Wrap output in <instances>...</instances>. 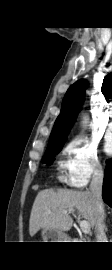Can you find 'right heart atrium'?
I'll use <instances>...</instances> for the list:
<instances>
[{
  "instance_id": "d8ad5b80",
  "label": "right heart atrium",
  "mask_w": 112,
  "mask_h": 270,
  "mask_svg": "<svg viewBox=\"0 0 112 270\" xmlns=\"http://www.w3.org/2000/svg\"><path fill=\"white\" fill-rule=\"evenodd\" d=\"M62 155L63 180L71 187L83 188L90 179L103 174L97 146L84 138L70 140Z\"/></svg>"
}]
</instances>
